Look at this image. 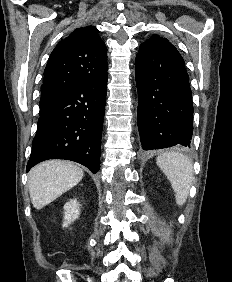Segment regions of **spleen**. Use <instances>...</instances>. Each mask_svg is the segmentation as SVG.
I'll return each mask as SVG.
<instances>
[{"mask_svg": "<svg viewBox=\"0 0 232 282\" xmlns=\"http://www.w3.org/2000/svg\"><path fill=\"white\" fill-rule=\"evenodd\" d=\"M156 162L171 182L176 203L183 205L187 199L193 176L190 159L178 152H168L158 156Z\"/></svg>", "mask_w": 232, "mask_h": 282, "instance_id": "obj_1", "label": "spleen"}]
</instances>
